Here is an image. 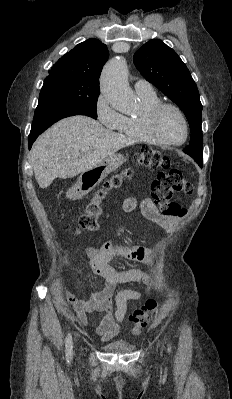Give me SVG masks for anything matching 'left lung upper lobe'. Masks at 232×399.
I'll list each match as a JSON object with an SVG mask.
<instances>
[{"mask_svg":"<svg viewBox=\"0 0 232 399\" xmlns=\"http://www.w3.org/2000/svg\"><path fill=\"white\" fill-rule=\"evenodd\" d=\"M143 77L160 89L185 113L191 141L183 152L203 162L202 104L197 86L181 58L161 40L145 43L133 56Z\"/></svg>","mask_w":232,"mask_h":399,"instance_id":"5c2ea615","label":"left lung upper lobe"}]
</instances>
